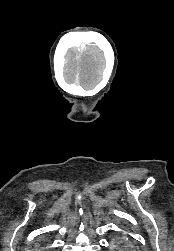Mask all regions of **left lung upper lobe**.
<instances>
[{
    "instance_id": "left-lung-upper-lobe-1",
    "label": "left lung upper lobe",
    "mask_w": 174,
    "mask_h": 251,
    "mask_svg": "<svg viewBox=\"0 0 174 251\" xmlns=\"http://www.w3.org/2000/svg\"><path fill=\"white\" fill-rule=\"evenodd\" d=\"M120 246H121V248L126 249L125 243H121Z\"/></svg>"
}]
</instances>
